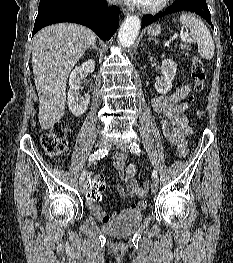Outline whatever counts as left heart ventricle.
Wrapping results in <instances>:
<instances>
[{"mask_svg":"<svg viewBox=\"0 0 233 263\" xmlns=\"http://www.w3.org/2000/svg\"><path fill=\"white\" fill-rule=\"evenodd\" d=\"M160 0H142V5H154L158 3Z\"/></svg>","mask_w":233,"mask_h":263,"instance_id":"obj_1","label":"left heart ventricle"}]
</instances>
